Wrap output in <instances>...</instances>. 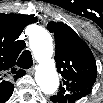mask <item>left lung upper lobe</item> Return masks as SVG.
<instances>
[{"label":"left lung upper lobe","instance_id":"1","mask_svg":"<svg viewBox=\"0 0 103 103\" xmlns=\"http://www.w3.org/2000/svg\"><path fill=\"white\" fill-rule=\"evenodd\" d=\"M48 30L55 37L56 67L62 75V84L51 101L74 103L92 90L97 74L94 56L87 44L68 25L49 22Z\"/></svg>","mask_w":103,"mask_h":103}]
</instances>
